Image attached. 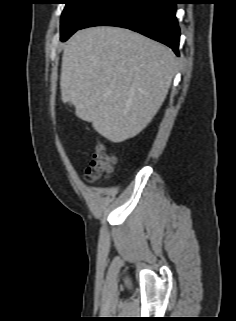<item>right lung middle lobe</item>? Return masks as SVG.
<instances>
[{
	"label": "right lung middle lobe",
	"instance_id": "obj_1",
	"mask_svg": "<svg viewBox=\"0 0 236 321\" xmlns=\"http://www.w3.org/2000/svg\"><path fill=\"white\" fill-rule=\"evenodd\" d=\"M108 0H64L61 16V41H66Z\"/></svg>",
	"mask_w": 236,
	"mask_h": 321
}]
</instances>
